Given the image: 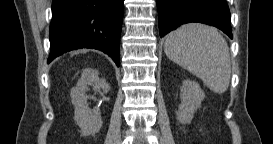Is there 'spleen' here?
Listing matches in <instances>:
<instances>
[{"mask_svg": "<svg viewBox=\"0 0 273 144\" xmlns=\"http://www.w3.org/2000/svg\"><path fill=\"white\" fill-rule=\"evenodd\" d=\"M167 57L200 78L215 93L229 86L231 62L226 40L215 29L190 23L169 33L164 44Z\"/></svg>", "mask_w": 273, "mask_h": 144, "instance_id": "obj_1", "label": "spleen"}]
</instances>
